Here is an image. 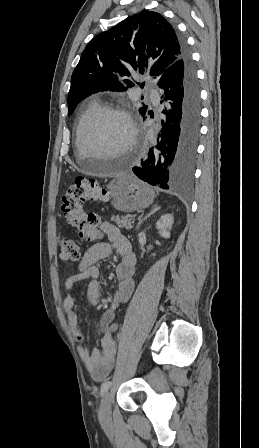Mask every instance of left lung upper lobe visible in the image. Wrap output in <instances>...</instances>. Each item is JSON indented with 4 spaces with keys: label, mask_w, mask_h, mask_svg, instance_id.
<instances>
[{
    "label": "left lung upper lobe",
    "mask_w": 259,
    "mask_h": 448,
    "mask_svg": "<svg viewBox=\"0 0 259 448\" xmlns=\"http://www.w3.org/2000/svg\"><path fill=\"white\" fill-rule=\"evenodd\" d=\"M182 56L174 27L159 13L143 11L97 35L82 52L68 93V113L87 96L99 91H126L133 87L134 71L157 79ZM124 83L127 85L124 86ZM148 106L139 108L144 117Z\"/></svg>",
    "instance_id": "left-lung-upper-lobe-1"
}]
</instances>
